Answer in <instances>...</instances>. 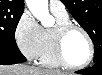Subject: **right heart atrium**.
<instances>
[{
    "label": "right heart atrium",
    "instance_id": "right-heart-atrium-1",
    "mask_svg": "<svg viewBox=\"0 0 102 75\" xmlns=\"http://www.w3.org/2000/svg\"><path fill=\"white\" fill-rule=\"evenodd\" d=\"M41 31L42 28L28 11H25L16 23L14 29L15 41L29 60H36L41 54Z\"/></svg>",
    "mask_w": 102,
    "mask_h": 75
}]
</instances>
